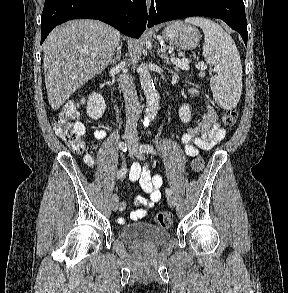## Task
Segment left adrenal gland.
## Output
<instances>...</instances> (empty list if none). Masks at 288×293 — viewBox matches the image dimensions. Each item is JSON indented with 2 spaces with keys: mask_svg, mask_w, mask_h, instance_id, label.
Returning <instances> with one entry per match:
<instances>
[{
  "mask_svg": "<svg viewBox=\"0 0 288 293\" xmlns=\"http://www.w3.org/2000/svg\"><path fill=\"white\" fill-rule=\"evenodd\" d=\"M157 54L161 59H164L166 64L170 63V57L165 53L163 47L158 48Z\"/></svg>",
  "mask_w": 288,
  "mask_h": 293,
  "instance_id": "a2214340",
  "label": "left adrenal gland"
}]
</instances>
